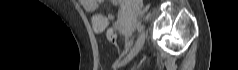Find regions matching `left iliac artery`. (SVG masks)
Segmentation results:
<instances>
[{
  "label": "left iliac artery",
  "mask_w": 238,
  "mask_h": 70,
  "mask_svg": "<svg viewBox=\"0 0 238 70\" xmlns=\"http://www.w3.org/2000/svg\"><path fill=\"white\" fill-rule=\"evenodd\" d=\"M141 29H142V27H141L140 25H138V26H137V30H138V31H141ZM126 53H127V50L125 49V50L122 52L121 56H123V55L126 54Z\"/></svg>",
  "instance_id": "obj_1"
}]
</instances>
